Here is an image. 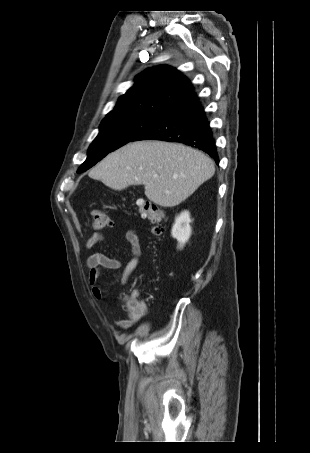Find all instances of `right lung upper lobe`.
<instances>
[{"label": "right lung upper lobe", "mask_w": 310, "mask_h": 453, "mask_svg": "<svg viewBox=\"0 0 310 453\" xmlns=\"http://www.w3.org/2000/svg\"><path fill=\"white\" fill-rule=\"evenodd\" d=\"M192 92L191 82L175 68L167 65L149 68L136 77L135 84L119 97L106 117L125 114L159 116Z\"/></svg>", "instance_id": "obj_1"}]
</instances>
